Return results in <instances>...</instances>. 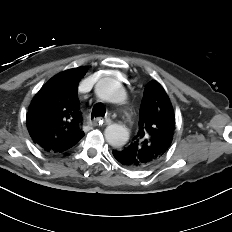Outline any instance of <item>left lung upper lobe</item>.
Segmentation results:
<instances>
[{
    "label": "left lung upper lobe",
    "instance_id": "left-lung-upper-lobe-1",
    "mask_svg": "<svg viewBox=\"0 0 232 232\" xmlns=\"http://www.w3.org/2000/svg\"><path fill=\"white\" fill-rule=\"evenodd\" d=\"M175 130V115L170 99L157 81H150L143 93L139 131L125 147L138 161V169L157 163L168 151Z\"/></svg>",
    "mask_w": 232,
    "mask_h": 232
}]
</instances>
